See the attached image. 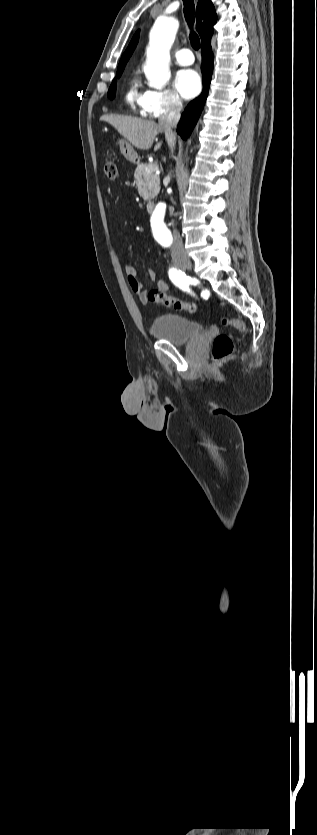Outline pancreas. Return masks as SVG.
Listing matches in <instances>:
<instances>
[{
    "instance_id": "cf45deb5",
    "label": "pancreas",
    "mask_w": 317,
    "mask_h": 835,
    "mask_svg": "<svg viewBox=\"0 0 317 835\" xmlns=\"http://www.w3.org/2000/svg\"><path fill=\"white\" fill-rule=\"evenodd\" d=\"M151 164H140L137 166L134 174L135 182L138 188L139 195L144 200H151L156 197L160 191L159 176L153 170L146 172V168Z\"/></svg>"
}]
</instances>
